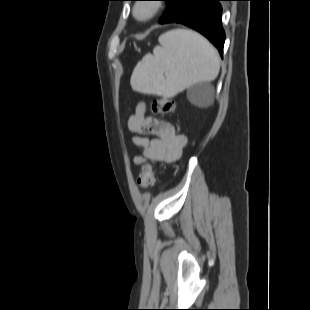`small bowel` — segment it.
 Masks as SVG:
<instances>
[{"instance_id": "obj_1", "label": "small bowel", "mask_w": 310, "mask_h": 310, "mask_svg": "<svg viewBox=\"0 0 310 310\" xmlns=\"http://www.w3.org/2000/svg\"><path fill=\"white\" fill-rule=\"evenodd\" d=\"M128 127L137 134L133 137L134 144L141 151L134 158V163L137 165L146 160L153 163L174 164L182 157L188 144L187 137L176 133L171 123L147 115L144 102L136 106L135 113L128 120Z\"/></svg>"}]
</instances>
